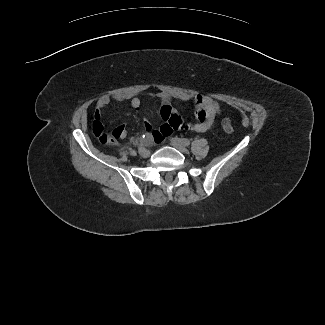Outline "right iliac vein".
Returning <instances> with one entry per match:
<instances>
[{
	"mask_svg": "<svg viewBox=\"0 0 325 325\" xmlns=\"http://www.w3.org/2000/svg\"><path fill=\"white\" fill-rule=\"evenodd\" d=\"M139 153H140V155H141L142 157H144V158H147V157L150 156V151L147 150V149H144L143 151H141V152H139Z\"/></svg>",
	"mask_w": 325,
	"mask_h": 325,
	"instance_id": "obj_1",
	"label": "right iliac vein"
}]
</instances>
